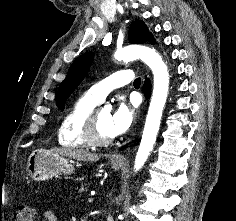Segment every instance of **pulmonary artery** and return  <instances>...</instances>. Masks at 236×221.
<instances>
[{"label": "pulmonary artery", "mask_w": 236, "mask_h": 221, "mask_svg": "<svg viewBox=\"0 0 236 221\" xmlns=\"http://www.w3.org/2000/svg\"><path fill=\"white\" fill-rule=\"evenodd\" d=\"M133 79V72L129 69L119 70L110 76L92 85L87 94L98 102H102L104 98L114 89L128 84Z\"/></svg>", "instance_id": "e3ab8cb5"}]
</instances>
